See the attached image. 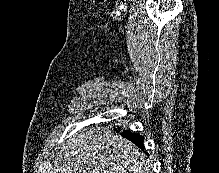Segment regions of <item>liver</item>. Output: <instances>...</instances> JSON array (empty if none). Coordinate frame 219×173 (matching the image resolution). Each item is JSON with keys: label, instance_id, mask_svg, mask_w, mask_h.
<instances>
[{"label": "liver", "instance_id": "liver-1", "mask_svg": "<svg viewBox=\"0 0 219 173\" xmlns=\"http://www.w3.org/2000/svg\"><path fill=\"white\" fill-rule=\"evenodd\" d=\"M61 173H150L132 142L100 127L82 128L62 147Z\"/></svg>", "mask_w": 219, "mask_h": 173}]
</instances>
